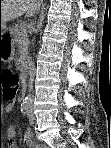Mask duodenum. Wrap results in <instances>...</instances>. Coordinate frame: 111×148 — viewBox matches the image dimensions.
Instances as JSON below:
<instances>
[{"instance_id":"obj_1","label":"duodenum","mask_w":111,"mask_h":148,"mask_svg":"<svg viewBox=\"0 0 111 148\" xmlns=\"http://www.w3.org/2000/svg\"><path fill=\"white\" fill-rule=\"evenodd\" d=\"M25 61H27V60H25ZM27 85L26 84H24V87H26ZM40 147H42V146H40Z\"/></svg>"}]
</instances>
